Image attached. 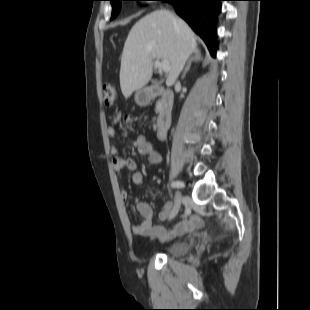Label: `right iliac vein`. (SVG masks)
<instances>
[{
	"mask_svg": "<svg viewBox=\"0 0 310 310\" xmlns=\"http://www.w3.org/2000/svg\"><path fill=\"white\" fill-rule=\"evenodd\" d=\"M184 201V197L183 195L181 194V192H177L176 193V196H175V205H174V208L169 216V219L172 220L173 218L176 217V215L178 214L179 210H180V207H181V204L182 202Z\"/></svg>",
	"mask_w": 310,
	"mask_h": 310,
	"instance_id": "right-iliac-vein-1",
	"label": "right iliac vein"
}]
</instances>
